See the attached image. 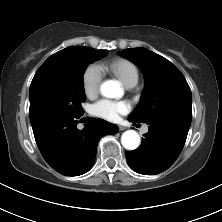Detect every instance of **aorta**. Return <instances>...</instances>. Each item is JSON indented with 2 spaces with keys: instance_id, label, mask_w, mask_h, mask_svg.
Listing matches in <instances>:
<instances>
[{
  "instance_id": "obj_1",
  "label": "aorta",
  "mask_w": 222,
  "mask_h": 222,
  "mask_svg": "<svg viewBox=\"0 0 222 222\" xmlns=\"http://www.w3.org/2000/svg\"><path fill=\"white\" fill-rule=\"evenodd\" d=\"M101 94L108 98H115L121 95L122 89L119 82L114 80L105 81L100 87ZM121 142L124 148L128 150H135L140 143V136L134 130L125 131L122 134Z\"/></svg>"
}]
</instances>
